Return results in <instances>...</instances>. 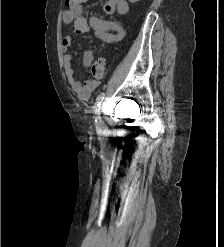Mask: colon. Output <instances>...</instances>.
<instances>
[{
	"instance_id": "obj_1",
	"label": "colon",
	"mask_w": 224,
	"mask_h": 247,
	"mask_svg": "<svg viewBox=\"0 0 224 247\" xmlns=\"http://www.w3.org/2000/svg\"><path fill=\"white\" fill-rule=\"evenodd\" d=\"M86 0H66V5L69 8L81 6ZM91 73L95 78H101L105 73V60L103 58L97 59L91 66Z\"/></svg>"
}]
</instances>
